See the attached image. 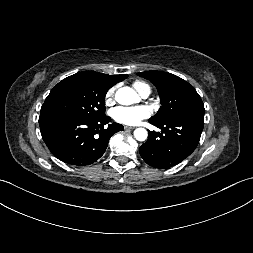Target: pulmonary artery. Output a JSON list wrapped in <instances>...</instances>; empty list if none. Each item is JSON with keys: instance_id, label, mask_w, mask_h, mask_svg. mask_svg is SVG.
<instances>
[{"instance_id": "e3ab8cb5", "label": "pulmonary artery", "mask_w": 253, "mask_h": 253, "mask_svg": "<svg viewBox=\"0 0 253 253\" xmlns=\"http://www.w3.org/2000/svg\"><path fill=\"white\" fill-rule=\"evenodd\" d=\"M149 94H150V92H143V93L141 94V96H142L143 98H146Z\"/></svg>"}]
</instances>
